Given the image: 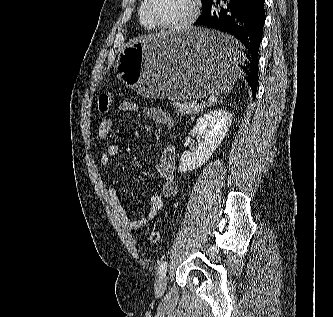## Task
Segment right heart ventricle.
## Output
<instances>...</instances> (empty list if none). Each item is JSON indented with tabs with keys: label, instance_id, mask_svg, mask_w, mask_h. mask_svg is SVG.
Returning a JSON list of instances; mask_svg holds the SVG:
<instances>
[{
	"label": "right heart ventricle",
	"instance_id": "1",
	"mask_svg": "<svg viewBox=\"0 0 333 317\" xmlns=\"http://www.w3.org/2000/svg\"><path fill=\"white\" fill-rule=\"evenodd\" d=\"M139 19H140V23L141 25L148 31L153 30L154 28L145 20L143 14H142V5L140 7L139 10Z\"/></svg>",
	"mask_w": 333,
	"mask_h": 317
}]
</instances>
